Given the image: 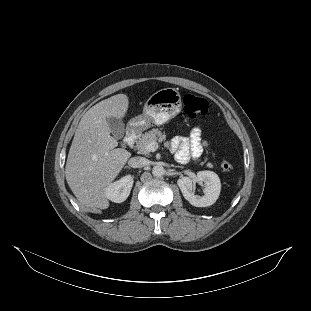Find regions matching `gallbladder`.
Listing matches in <instances>:
<instances>
[{
	"label": "gallbladder",
	"instance_id": "bac80fb5",
	"mask_svg": "<svg viewBox=\"0 0 311 311\" xmlns=\"http://www.w3.org/2000/svg\"><path fill=\"white\" fill-rule=\"evenodd\" d=\"M107 122L111 129V133L116 139H121L125 133V124L122 119L110 117L107 118Z\"/></svg>",
	"mask_w": 311,
	"mask_h": 311
}]
</instances>
